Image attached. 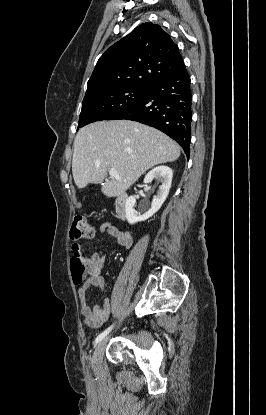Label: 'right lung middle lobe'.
I'll return each instance as SVG.
<instances>
[{
  "label": "right lung middle lobe",
  "mask_w": 266,
  "mask_h": 415,
  "mask_svg": "<svg viewBox=\"0 0 266 415\" xmlns=\"http://www.w3.org/2000/svg\"><path fill=\"white\" fill-rule=\"evenodd\" d=\"M148 88L117 87L84 97L78 127L101 120H109L117 113L141 101Z\"/></svg>",
  "instance_id": "right-lung-middle-lobe-1"
}]
</instances>
